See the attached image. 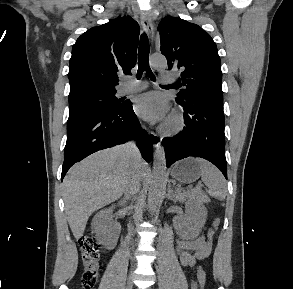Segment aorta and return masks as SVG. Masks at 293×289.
<instances>
[{
  "label": "aorta",
  "mask_w": 293,
  "mask_h": 289,
  "mask_svg": "<svg viewBox=\"0 0 293 289\" xmlns=\"http://www.w3.org/2000/svg\"><path fill=\"white\" fill-rule=\"evenodd\" d=\"M150 65L153 68H165L167 61L164 57H152ZM166 182V157L164 148L157 145L154 154L153 172L148 192V205L153 212L156 208Z\"/></svg>",
  "instance_id": "762f6f07"
}]
</instances>
